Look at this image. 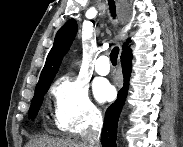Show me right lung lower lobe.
<instances>
[{
  "label": "right lung lower lobe",
  "mask_w": 183,
  "mask_h": 147,
  "mask_svg": "<svg viewBox=\"0 0 183 147\" xmlns=\"http://www.w3.org/2000/svg\"><path fill=\"white\" fill-rule=\"evenodd\" d=\"M131 60V51L125 52L121 55L124 85L123 88L118 92V97L116 101L112 105H110L106 110L101 135V143L103 147H116L117 124L127 96V89L129 88V78L132 68Z\"/></svg>",
  "instance_id": "obj_1"
}]
</instances>
